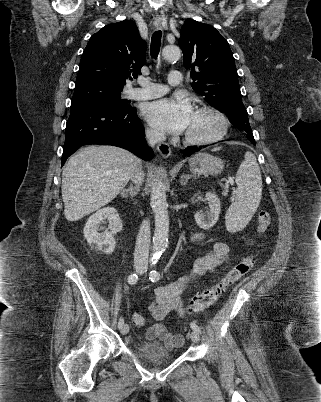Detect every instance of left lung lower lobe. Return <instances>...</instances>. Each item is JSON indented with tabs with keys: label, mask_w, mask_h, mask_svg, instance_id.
<instances>
[{
	"label": "left lung lower lobe",
	"mask_w": 321,
	"mask_h": 402,
	"mask_svg": "<svg viewBox=\"0 0 321 402\" xmlns=\"http://www.w3.org/2000/svg\"><path fill=\"white\" fill-rule=\"evenodd\" d=\"M232 124H233L234 126H236L239 131L246 132V131H245V126H244V124H242V123H240V122H232ZM249 139H250V141L255 145V140L252 139V138H249ZM203 147H204V146H203ZM201 148H202V147H199V148H192V149H185V153H186L187 156H191L193 153L199 151Z\"/></svg>",
	"instance_id": "0a47b994"
}]
</instances>
